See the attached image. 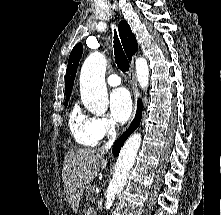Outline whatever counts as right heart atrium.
Here are the masks:
<instances>
[{
	"label": "right heart atrium",
	"mask_w": 221,
	"mask_h": 215,
	"mask_svg": "<svg viewBox=\"0 0 221 215\" xmlns=\"http://www.w3.org/2000/svg\"><path fill=\"white\" fill-rule=\"evenodd\" d=\"M116 129V124L109 117L97 116L93 118V130L99 139L115 135Z\"/></svg>",
	"instance_id": "obj_1"
}]
</instances>
